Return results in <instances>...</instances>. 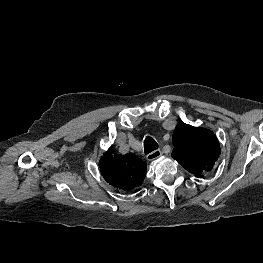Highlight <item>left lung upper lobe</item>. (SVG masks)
I'll list each match as a JSON object with an SVG mask.
<instances>
[{"mask_svg":"<svg viewBox=\"0 0 263 263\" xmlns=\"http://www.w3.org/2000/svg\"><path fill=\"white\" fill-rule=\"evenodd\" d=\"M172 157L196 177L212 170L221 148L216 135L209 129L180 122L173 132Z\"/></svg>","mask_w":263,"mask_h":263,"instance_id":"left-lung-upper-lobe-1","label":"left lung upper lobe"}]
</instances>
